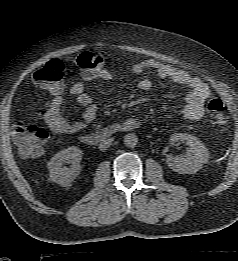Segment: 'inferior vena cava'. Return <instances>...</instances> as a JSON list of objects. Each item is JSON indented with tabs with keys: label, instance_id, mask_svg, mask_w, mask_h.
<instances>
[{
	"label": "inferior vena cava",
	"instance_id": "obj_1",
	"mask_svg": "<svg viewBox=\"0 0 238 261\" xmlns=\"http://www.w3.org/2000/svg\"><path fill=\"white\" fill-rule=\"evenodd\" d=\"M112 138H104L100 141V144H99V149L101 151H104L106 150L112 143Z\"/></svg>",
	"mask_w": 238,
	"mask_h": 261
}]
</instances>
